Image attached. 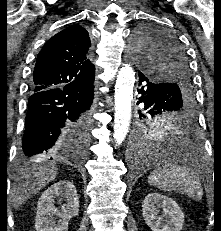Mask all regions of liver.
Instances as JSON below:
<instances>
[{
  "label": "liver",
  "instance_id": "obj_1",
  "mask_svg": "<svg viewBox=\"0 0 221 231\" xmlns=\"http://www.w3.org/2000/svg\"><path fill=\"white\" fill-rule=\"evenodd\" d=\"M44 160H36L38 163L22 169L14 178L11 200L15 209L20 208L28 198L55 180L58 174L57 166L54 163L42 162Z\"/></svg>",
  "mask_w": 221,
  "mask_h": 231
}]
</instances>
